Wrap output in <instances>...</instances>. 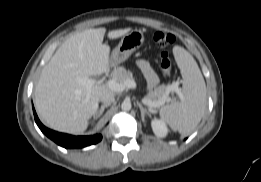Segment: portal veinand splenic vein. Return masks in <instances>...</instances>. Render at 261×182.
Instances as JSON below:
<instances>
[{
  "label": "portal vein and splenic vein",
  "instance_id": "obj_1",
  "mask_svg": "<svg viewBox=\"0 0 261 182\" xmlns=\"http://www.w3.org/2000/svg\"><path fill=\"white\" fill-rule=\"evenodd\" d=\"M77 82L81 85L86 86L87 88H91L96 83V80L78 78ZM106 84L109 89H111L112 91H115V92H122L125 89L136 88V83L134 80H127L125 82H119L114 79H110L107 81ZM168 89L175 91L180 97L182 96V93L178 88V84L175 83V84L171 85ZM143 102L149 107H160L161 105L164 104V102L156 104V103L151 102L150 100H147L146 98L143 99Z\"/></svg>",
  "mask_w": 261,
  "mask_h": 182
}]
</instances>
